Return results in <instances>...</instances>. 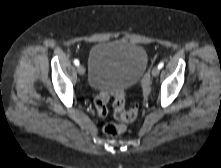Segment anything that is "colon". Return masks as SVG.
<instances>
[{
	"label": "colon",
	"instance_id": "5ec220e1",
	"mask_svg": "<svg viewBox=\"0 0 221 168\" xmlns=\"http://www.w3.org/2000/svg\"><path fill=\"white\" fill-rule=\"evenodd\" d=\"M142 89L144 92L148 91V81L146 79L142 82ZM114 96V116L116 119L122 122H131L136 119L139 113V108L137 105L131 107L130 109L126 110L125 104V93L122 89H115L112 92ZM109 101V93L103 92L101 93L94 101L96 111L98 115L105 116L108 112V104ZM124 130L123 124H116V123H107L103 127V132L108 137H116L121 134Z\"/></svg>",
	"mask_w": 221,
	"mask_h": 168
}]
</instances>
